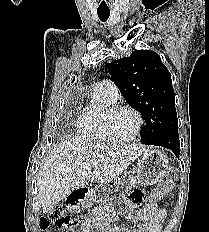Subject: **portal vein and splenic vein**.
<instances>
[{
	"label": "portal vein and splenic vein",
	"mask_w": 209,
	"mask_h": 232,
	"mask_svg": "<svg viewBox=\"0 0 209 232\" xmlns=\"http://www.w3.org/2000/svg\"><path fill=\"white\" fill-rule=\"evenodd\" d=\"M98 164V161H93V165H97Z\"/></svg>",
	"instance_id": "obj_1"
}]
</instances>
